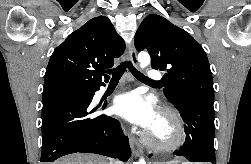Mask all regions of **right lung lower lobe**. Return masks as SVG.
<instances>
[{"label":"right lung lower lobe","instance_id":"98d812e1","mask_svg":"<svg viewBox=\"0 0 251 164\" xmlns=\"http://www.w3.org/2000/svg\"><path fill=\"white\" fill-rule=\"evenodd\" d=\"M99 88L93 89V95ZM93 95L85 99H57L43 103L41 162H53L71 153H95L121 161L131 155L128 138L119 122L106 115L95 116ZM106 103L103 105V108Z\"/></svg>","mask_w":251,"mask_h":164}]
</instances>
